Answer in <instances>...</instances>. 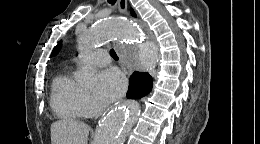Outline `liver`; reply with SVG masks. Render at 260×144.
Segmentation results:
<instances>
[{
	"instance_id": "liver-1",
	"label": "liver",
	"mask_w": 260,
	"mask_h": 144,
	"mask_svg": "<svg viewBox=\"0 0 260 144\" xmlns=\"http://www.w3.org/2000/svg\"><path fill=\"white\" fill-rule=\"evenodd\" d=\"M51 144H87L89 126L73 119H60L51 125Z\"/></svg>"
}]
</instances>
